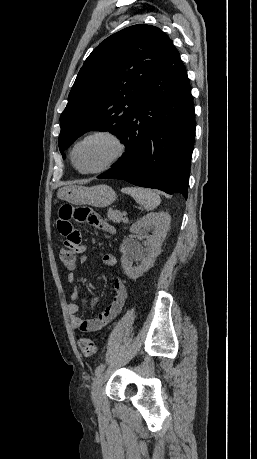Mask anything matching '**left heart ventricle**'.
<instances>
[{
    "label": "left heart ventricle",
    "mask_w": 257,
    "mask_h": 459,
    "mask_svg": "<svg viewBox=\"0 0 257 459\" xmlns=\"http://www.w3.org/2000/svg\"><path fill=\"white\" fill-rule=\"evenodd\" d=\"M112 141L96 137L83 142L75 152L77 166L84 171L92 170L106 163L115 153Z\"/></svg>",
    "instance_id": "left-heart-ventricle-1"
}]
</instances>
